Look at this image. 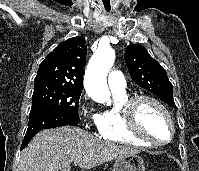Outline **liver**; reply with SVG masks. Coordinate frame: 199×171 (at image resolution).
Wrapping results in <instances>:
<instances>
[{
	"label": "liver",
	"mask_w": 199,
	"mask_h": 171,
	"mask_svg": "<svg viewBox=\"0 0 199 171\" xmlns=\"http://www.w3.org/2000/svg\"><path fill=\"white\" fill-rule=\"evenodd\" d=\"M139 151L125 145L103 141L77 127L63 126L36 134L21 152L18 171H70L79 160V168L91 169Z\"/></svg>",
	"instance_id": "liver-1"
}]
</instances>
